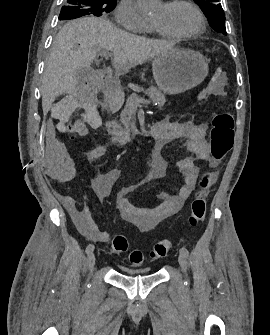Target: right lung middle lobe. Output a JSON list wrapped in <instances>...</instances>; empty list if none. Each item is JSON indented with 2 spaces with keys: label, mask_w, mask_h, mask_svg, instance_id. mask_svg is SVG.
<instances>
[{
  "label": "right lung middle lobe",
  "mask_w": 270,
  "mask_h": 335,
  "mask_svg": "<svg viewBox=\"0 0 270 335\" xmlns=\"http://www.w3.org/2000/svg\"><path fill=\"white\" fill-rule=\"evenodd\" d=\"M116 0H65L59 20H69L85 15L101 16L112 11Z\"/></svg>",
  "instance_id": "right-lung-middle-lobe-1"
}]
</instances>
